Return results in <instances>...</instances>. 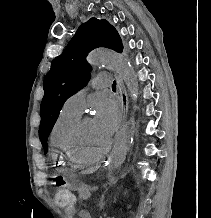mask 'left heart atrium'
Masks as SVG:
<instances>
[{
	"label": "left heart atrium",
	"instance_id": "obj_1",
	"mask_svg": "<svg viewBox=\"0 0 211 218\" xmlns=\"http://www.w3.org/2000/svg\"><path fill=\"white\" fill-rule=\"evenodd\" d=\"M96 127L105 135L111 136L119 125V111L115 100L109 95L97 98L94 104Z\"/></svg>",
	"mask_w": 211,
	"mask_h": 218
}]
</instances>
